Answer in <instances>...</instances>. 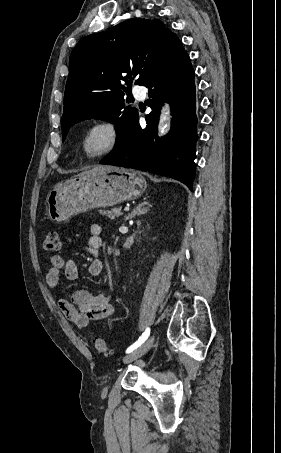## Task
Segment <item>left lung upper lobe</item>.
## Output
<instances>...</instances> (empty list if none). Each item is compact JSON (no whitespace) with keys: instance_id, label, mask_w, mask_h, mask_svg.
<instances>
[{"instance_id":"1","label":"left lung upper lobe","mask_w":281,"mask_h":453,"mask_svg":"<svg viewBox=\"0 0 281 453\" xmlns=\"http://www.w3.org/2000/svg\"><path fill=\"white\" fill-rule=\"evenodd\" d=\"M174 37L160 20L133 18L81 39L69 60L62 140L76 122L97 118L115 124L118 145L138 117L136 108L126 107L123 91L134 78L145 85Z\"/></svg>"}]
</instances>
